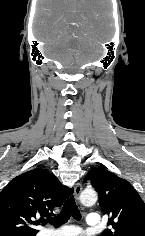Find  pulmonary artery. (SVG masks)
Masks as SVG:
<instances>
[{"instance_id":"e3ab8cb5","label":"pulmonary artery","mask_w":145,"mask_h":236,"mask_svg":"<svg viewBox=\"0 0 145 236\" xmlns=\"http://www.w3.org/2000/svg\"><path fill=\"white\" fill-rule=\"evenodd\" d=\"M86 223L90 227L100 226V217L98 214L90 213L87 215ZM80 228L74 225L64 226L57 230H49L43 236H76Z\"/></svg>"}]
</instances>
